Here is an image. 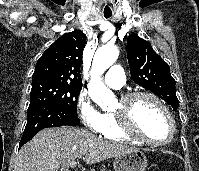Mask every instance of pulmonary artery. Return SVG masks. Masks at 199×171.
<instances>
[{"label":"pulmonary artery","mask_w":199,"mask_h":171,"mask_svg":"<svg viewBox=\"0 0 199 171\" xmlns=\"http://www.w3.org/2000/svg\"><path fill=\"white\" fill-rule=\"evenodd\" d=\"M104 81L109 87L120 89L125 83L123 68L119 65L111 66L104 77Z\"/></svg>","instance_id":"obj_1"}]
</instances>
